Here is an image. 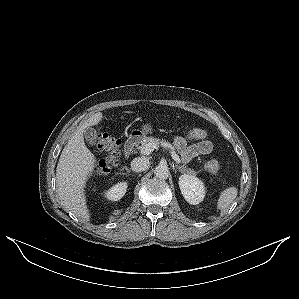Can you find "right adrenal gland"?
<instances>
[{
    "label": "right adrenal gland",
    "instance_id": "right-adrenal-gland-1",
    "mask_svg": "<svg viewBox=\"0 0 299 299\" xmlns=\"http://www.w3.org/2000/svg\"><path fill=\"white\" fill-rule=\"evenodd\" d=\"M126 169V171L128 172V173H131V170L130 169H128V168H125Z\"/></svg>",
    "mask_w": 299,
    "mask_h": 299
}]
</instances>
